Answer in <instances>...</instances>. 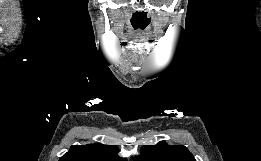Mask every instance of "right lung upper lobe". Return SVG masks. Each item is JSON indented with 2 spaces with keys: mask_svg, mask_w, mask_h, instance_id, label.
Here are the masks:
<instances>
[{
  "mask_svg": "<svg viewBox=\"0 0 261 161\" xmlns=\"http://www.w3.org/2000/svg\"><path fill=\"white\" fill-rule=\"evenodd\" d=\"M115 146L103 144L73 145L59 161H127L117 155Z\"/></svg>",
  "mask_w": 261,
  "mask_h": 161,
  "instance_id": "1",
  "label": "right lung upper lobe"
}]
</instances>
